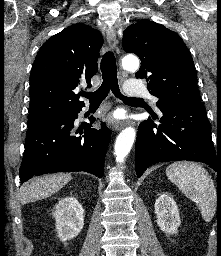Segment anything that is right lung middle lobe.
Wrapping results in <instances>:
<instances>
[{
	"label": "right lung middle lobe",
	"mask_w": 221,
	"mask_h": 256,
	"mask_svg": "<svg viewBox=\"0 0 221 256\" xmlns=\"http://www.w3.org/2000/svg\"><path fill=\"white\" fill-rule=\"evenodd\" d=\"M49 118L47 114H36L34 116L28 117V127H32L40 122H43Z\"/></svg>",
	"instance_id": "right-lung-middle-lobe-1"
}]
</instances>
